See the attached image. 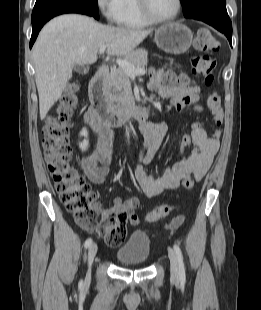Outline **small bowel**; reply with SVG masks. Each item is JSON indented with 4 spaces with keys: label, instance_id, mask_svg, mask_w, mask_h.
<instances>
[{
    "label": "small bowel",
    "instance_id": "obj_1",
    "mask_svg": "<svg viewBox=\"0 0 261 310\" xmlns=\"http://www.w3.org/2000/svg\"><path fill=\"white\" fill-rule=\"evenodd\" d=\"M162 77V70L154 73L149 84L152 91L162 98L170 100L178 110L186 106H194L198 111L203 110L198 85L188 80L177 85L163 84ZM87 114L88 112L85 119L88 123ZM140 129L144 142L139 156L140 163L135 170V179L140 190L147 197H154L165 190L178 188L186 177L193 176L196 180L201 179L219 149V138L209 137L204 128L196 123L192 126L191 134L184 135L182 139V143L184 140H188L190 144L194 145L193 152L174 163L171 168L165 169L160 177L155 178L145 170L143 164L153 160L167 134L168 127L162 122H146L141 125ZM111 159L110 138L108 135L100 134L92 152L81 159L80 167L90 181L102 183L110 172ZM139 204L140 201L137 197L125 200L115 197L113 207L105 210L103 217L111 213H124L130 224L137 226L140 221L135 209Z\"/></svg>",
    "mask_w": 261,
    "mask_h": 310
}]
</instances>
